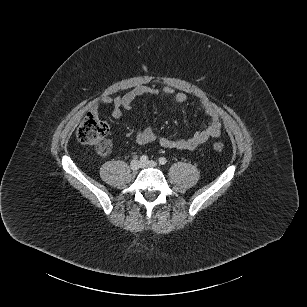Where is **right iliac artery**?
Instances as JSON below:
<instances>
[{"label":"right iliac artery","instance_id":"82829eb1","mask_svg":"<svg viewBox=\"0 0 307 307\" xmlns=\"http://www.w3.org/2000/svg\"><path fill=\"white\" fill-rule=\"evenodd\" d=\"M140 161H141L142 163H145V162L148 161V157H147L146 155H142V156L140 157Z\"/></svg>","mask_w":307,"mask_h":307}]
</instances>
